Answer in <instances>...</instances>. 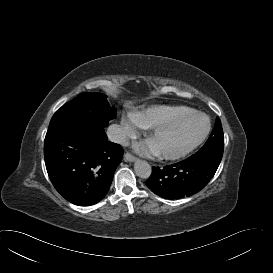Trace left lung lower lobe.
Segmentation results:
<instances>
[{
	"instance_id": "1",
	"label": "left lung lower lobe",
	"mask_w": 273,
	"mask_h": 273,
	"mask_svg": "<svg viewBox=\"0 0 273 273\" xmlns=\"http://www.w3.org/2000/svg\"><path fill=\"white\" fill-rule=\"evenodd\" d=\"M217 168L218 166L210 161L189 157L164 168L153 167L146 185L162 198L189 197L208 184Z\"/></svg>"
}]
</instances>
